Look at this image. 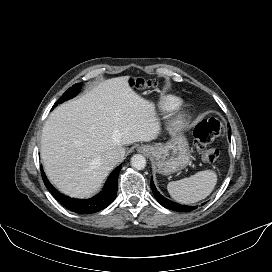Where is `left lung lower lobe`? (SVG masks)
<instances>
[{
	"instance_id": "1",
	"label": "left lung lower lobe",
	"mask_w": 272,
	"mask_h": 272,
	"mask_svg": "<svg viewBox=\"0 0 272 272\" xmlns=\"http://www.w3.org/2000/svg\"><path fill=\"white\" fill-rule=\"evenodd\" d=\"M228 136L230 139L231 138V131H229ZM150 184H151V189L153 191V194H154L156 200L165 208L173 210V211H178V212H190V211H193L197 208V206L180 205L178 203H175V202H172V201L166 199L157 191V189L152 181V178H151ZM203 204H205V203H203Z\"/></svg>"
}]
</instances>
